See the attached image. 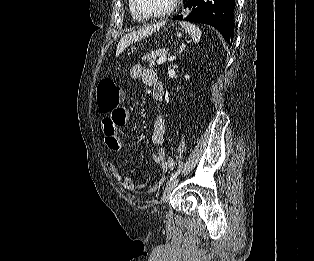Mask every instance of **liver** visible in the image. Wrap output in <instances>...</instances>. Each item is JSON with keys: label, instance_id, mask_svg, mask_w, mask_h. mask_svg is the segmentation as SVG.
<instances>
[{"label": "liver", "instance_id": "6515ba94", "mask_svg": "<svg viewBox=\"0 0 314 261\" xmlns=\"http://www.w3.org/2000/svg\"><path fill=\"white\" fill-rule=\"evenodd\" d=\"M155 29H156L155 25L149 26L137 32L129 33L122 37L117 46L116 56H119L130 44L145 38L146 36L151 34Z\"/></svg>", "mask_w": 314, "mask_h": 261}]
</instances>
